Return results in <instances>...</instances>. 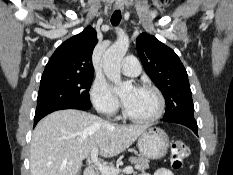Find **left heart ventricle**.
Returning a JSON list of instances; mask_svg holds the SVG:
<instances>
[{
    "label": "left heart ventricle",
    "mask_w": 233,
    "mask_h": 175,
    "mask_svg": "<svg viewBox=\"0 0 233 175\" xmlns=\"http://www.w3.org/2000/svg\"><path fill=\"white\" fill-rule=\"evenodd\" d=\"M122 99L128 112L135 117H149L158 108L157 97L149 90L130 87L123 92Z\"/></svg>",
    "instance_id": "1"
}]
</instances>
